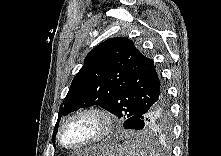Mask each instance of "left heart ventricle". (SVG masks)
I'll return each instance as SVG.
<instances>
[{"label":"left heart ventricle","instance_id":"b2bd125f","mask_svg":"<svg viewBox=\"0 0 221 156\" xmlns=\"http://www.w3.org/2000/svg\"><path fill=\"white\" fill-rule=\"evenodd\" d=\"M99 126V122L94 117L76 118L65 126L62 141L68 146L82 144L97 134Z\"/></svg>","mask_w":221,"mask_h":156}]
</instances>
